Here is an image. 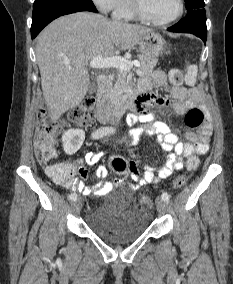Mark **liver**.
Here are the masks:
<instances>
[{"instance_id": "6515ba94", "label": "liver", "mask_w": 233, "mask_h": 284, "mask_svg": "<svg viewBox=\"0 0 233 284\" xmlns=\"http://www.w3.org/2000/svg\"><path fill=\"white\" fill-rule=\"evenodd\" d=\"M152 29L101 15L79 12L60 17L39 35L36 58L41 86L51 119L77 107L89 86L87 65L96 56L113 57L127 50Z\"/></svg>"}]
</instances>
